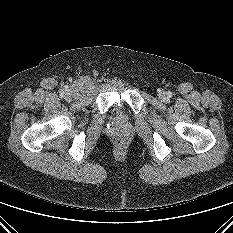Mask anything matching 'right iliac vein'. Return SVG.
I'll list each match as a JSON object with an SVG mask.
<instances>
[{"label":"right iliac vein","instance_id":"right-iliac-vein-1","mask_svg":"<svg viewBox=\"0 0 233 233\" xmlns=\"http://www.w3.org/2000/svg\"><path fill=\"white\" fill-rule=\"evenodd\" d=\"M72 98H73L72 92L68 91V92L65 93V99L67 101H70Z\"/></svg>","mask_w":233,"mask_h":233}]
</instances>
